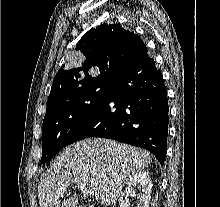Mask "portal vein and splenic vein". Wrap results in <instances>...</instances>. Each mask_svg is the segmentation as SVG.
Masks as SVG:
<instances>
[{"mask_svg": "<svg viewBox=\"0 0 220 207\" xmlns=\"http://www.w3.org/2000/svg\"><path fill=\"white\" fill-rule=\"evenodd\" d=\"M67 186V185H66ZM78 188L83 192L84 195L86 196H93L94 195V190L91 188H88L84 184L78 185Z\"/></svg>", "mask_w": 220, "mask_h": 207, "instance_id": "portal-vein-and-splenic-vein-1", "label": "portal vein and splenic vein"}]
</instances>
